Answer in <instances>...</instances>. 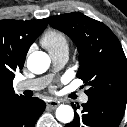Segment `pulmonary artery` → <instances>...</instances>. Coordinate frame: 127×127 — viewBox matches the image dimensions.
Returning <instances> with one entry per match:
<instances>
[{
	"instance_id": "pulmonary-artery-1",
	"label": "pulmonary artery",
	"mask_w": 127,
	"mask_h": 127,
	"mask_svg": "<svg viewBox=\"0 0 127 127\" xmlns=\"http://www.w3.org/2000/svg\"><path fill=\"white\" fill-rule=\"evenodd\" d=\"M51 56H52V60H53L55 67L60 68L67 62L68 51H62V52L53 54ZM49 81H50L49 76L36 78V79H30V80H23L17 83L16 89L19 91L40 90L46 87ZM79 101L83 104L87 103L88 96L85 93L81 94Z\"/></svg>"
}]
</instances>
